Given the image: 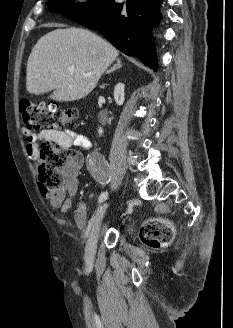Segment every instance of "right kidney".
Returning <instances> with one entry per match:
<instances>
[{"mask_svg":"<svg viewBox=\"0 0 233 328\" xmlns=\"http://www.w3.org/2000/svg\"><path fill=\"white\" fill-rule=\"evenodd\" d=\"M124 84L123 83H118L116 86H115V89H114V99L117 103V105H123L124 103ZM98 133L101 135L103 133V129L102 128H99L98 130Z\"/></svg>","mask_w":233,"mask_h":328,"instance_id":"ca27d5eb","label":"right kidney"}]
</instances>
